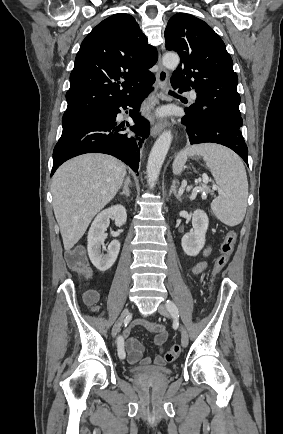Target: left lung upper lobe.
Listing matches in <instances>:
<instances>
[{
    "label": "left lung upper lobe",
    "instance_id": "obj_1",
    "mask_svg": "<svg viewBox=\"0 0 283 434\" xmlns=\"http://www.w3.org/2000/svg\"><path fill=\"white\" fill-rule=\"evenodd\" d=\"M164 35L166 49L181 59L171 81L197 92L196 103L186 110L196 114L214 107L241 116L233 61L213 29L192 15L178 13L168 21Z\"/></svg>",
    "mask_w": 283,
    "mask_h": 434
}]
</instances>
